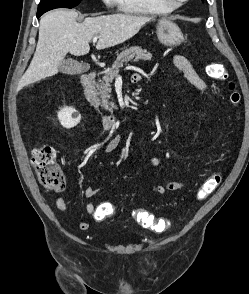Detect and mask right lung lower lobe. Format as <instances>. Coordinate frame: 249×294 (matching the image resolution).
I'll return each mask as SVG.
<instances>
[{"label": "right lung lower lobe", "instance_id": "obj_1", "mask_svg": "<svg viewBox=\"0 0 249 294\" xmlns=\"http://www.w3.org/2000/svg\"><path fill=\"white\" fill-rule=\"evenodd\" d=\"M43 13H37V18H39Z\"/></svg>", "mask_w": 249, "mask_h": 294}]
</instances>
